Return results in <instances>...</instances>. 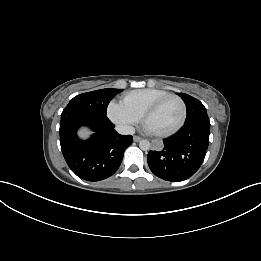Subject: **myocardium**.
Wrapping results in <instances>:
<instances>
[{
    "label": "myocardium",
    "mask_w": 261,
    "mask_h": 261,
    "mask_svg": "<svg viewBox=\"0 0 261 261\" xmlns=\"http://www.w3.org/2000/svg\"><path fill=\"white\" fill-rule=\"evenodd\" d=\"M169 99H175L179 102L180 106H181V117L179 122L177 123V125L175 127H173L172 129L168 130V131H164V132H155V131H151L147 128L146 126V122L148 120V118L163 104L165 103L167 100ZM186 116H187V108H186V104L184 102V100L176 95V94H168L166 96L161 97L160 99L156 100L155 102H153L143 113L142 115V122L144 124V126L155 136L158 137H168L171 136L173 134H175L176 132H178L182 126L185 123L186 120Z\"/></svg>",
    "instance_id": "f54148a6"
}]
</instances>
